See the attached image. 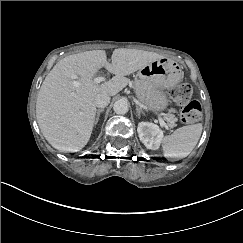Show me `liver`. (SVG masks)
Instances as JSON below:
<instances>
[{"mask_svg": "<svg viewBox=\"0 0 243 243\" xmlns=\"http://www.w3.org/2000/svg\"><path fill=\"white\" fill-rule=\"evenodd\" d=\"M164 56L138 49L119 48L107 62L104 50L71 54L52 68L45 77L36 100V118L42 134L56 150L78 152L93 132L99 93L118 94L130 82L125 76L139 71ZM115 75L99 84L93 80L101 68Z\"/></svg>", "mask_w": 243, "mask_h": 243, "instance_id": "obj_1", "label": "liver"}]
</instances>
